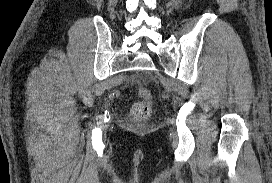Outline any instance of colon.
<instances>
[{"label": "colon", "mask_w": 272, "mask_h": 183, "mask_svg": "<svg viewBox=\"0 0 272 183\" xmlns=\"http://www.w3.org/2000/svg\"><path fill=\"white\" fill-rule=\"evenodd\" d=\"M140 95L142 97V101L135 104L134 106V114L140 118L146 117L150 113V93L146 89H140Z\"/></svg>", "instance_id": "obj_1"}]
</instances>
